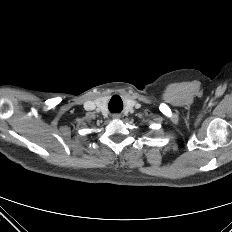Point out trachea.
<instances>
[{
	"mask_svg": "<svg viewBox=\"0 0 232 232\" xmlns=\"http://www.w3.org/2000/svg\"><path fill=\"white\" fill-rule=\"evenodd\" d=\"M123 108V104L121 100L117 99L116 97H113L109 103V110L111 112H119Z\"/></svg>",
	"mask_w": 232,
	"mask_h": 232,
	"instance_id": "obj_1",
	"label": "trachea"
}]
</instances>
